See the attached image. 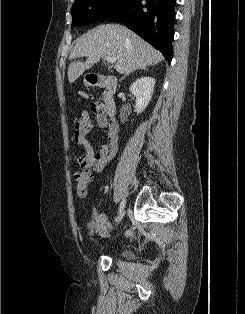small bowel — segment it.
Returning a JSON list of instances; mask_svg holds the SVG:
<instances>
[{"label": "small bowel", "instance_id": "obj_1", "mask_svg": "<svg viewBox=\"0 0 245 314\" xmlns=\"http://www.w3.org/2000/svg\"><path fill=\"white\" fill-rule=\"evenodd\" d=\"M91 113L95 114L97 123L107 131V140L102 147L95 151L85 136L91 130ZM73 139L76 144L82 146L85 153L78 159V163L91 171L101 172L116 156L118 150V127L112 123L102 112V104L94 102L88 109L82 112L78 120ZM95 228L87 230L89 236L96 234L105 235L111 228L110 221L105 214H94Z\"/></svg>", "mask_w": 245, "mask_h": 314}]
</instances>
